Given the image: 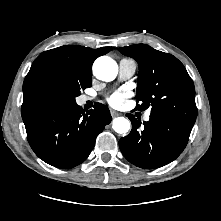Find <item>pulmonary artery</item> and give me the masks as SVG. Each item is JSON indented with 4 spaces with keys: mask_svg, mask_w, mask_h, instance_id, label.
Listing matches in <instances>:
<instances>
[{
    "mask_svg": "<svg viewBox=\"0 0 221 221\" xmlns=\"http://www.w3.org/2000/svg\"><path fill=\"white\" fill-rule=\"evenodd\" d=\"M136 69H137V65L134 60L128 59V58H122L119 61V74H118L119 80L124 81V80L130 79L135 74ZM92 99L93 98L90 96H84L82 98V101L87 102ZM149 118H150V111L146 112L144 116V120L148 121Z\"/></svg>",
    "mask_w": 221,
    "mask_h": 221,
    "instance_id": "e3ab8cb5",
    "label": "pulmonary artery"
}]
</instances>
